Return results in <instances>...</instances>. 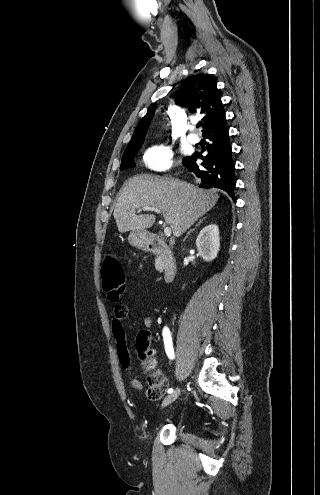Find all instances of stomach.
Returning <instances> with one entry per match:
<instances>
[{
    "label": "stomach",
    "instance_id": "stomach-1",
    "mask_svg": "<svg viewBox=\"0 0 320 495\" xmlns=\"http://www.w3.org/2000/svg\"><path fill=\"white\" fill-rule=\"evenodd\" d=\"M129 243L137 248H145L149 244V235L144 231H131L128 236Z\"/></svg>",
    "mask_w": 320,
    "mask_h": 495
}]
</instances>
